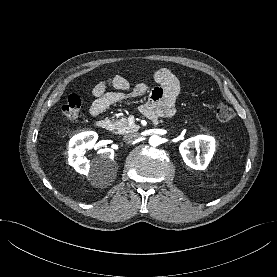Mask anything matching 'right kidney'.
Returning <instances> with one entry per match:
<instances>
[{
  "mask_svg": "<svg viewBox=\"0 0 277 277\" xmlns=\"http://www.w3.org/2000/svg\"><path fill=\"white\" fill-rule=\"evenodd\" d=\"M98 139L97 133L93 131L83 132L72 137L69 142L68 162L74 169L84 175H88L91 167H97L100 163H113L114 150L110 148L101 149L100 159L96 163H89L83 158L85 150L92 149Z\"/></svg>",
  "mask_w": 277,
  "mask_h": 277,
  "instance_id": "obj_1",
  "label": "right kidney"
}]
</instances>
